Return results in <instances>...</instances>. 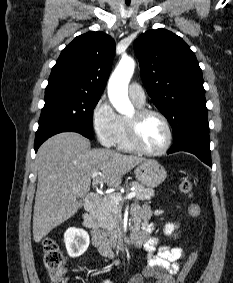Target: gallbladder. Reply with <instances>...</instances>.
<instances>
[{
  "instance_id": "bac80fb5",
  "label": "gallbladder",
  "mask_w": 233,
  "mask_h": 283,
  "mask_svg": "<svg viewBox=\"0 0 233 283\" xmlns=\"http://www.w3.org/2000/svg\"><path fill=\"white\" fill-rule=\"evenodd\" d=\"M79 203H80V207H81L82 206V198H80Z\"/></svg>"
}]
</instances>
